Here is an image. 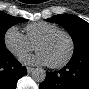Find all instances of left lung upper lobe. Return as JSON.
I'll return each mask as SVG.
<instances>
[{
    "instance_id": "obj_1",
    "label": "left lung upper lobe",
    "mask_w": 89,
    "mask_h": 89,
    "mask_svg": "<svg viewBox=\"0 0 89 89\" xmlns=\"http://www.w3.org/2000/svg\"><path fill=\"white\" fill-rule=\"evenodd\" d=\"M50 22L57 23L64 27L71 35L74 42L73 56L89 51V23L83 19L69 15L61 14L47 19Z\"/></svg>"
}]
</instances>
